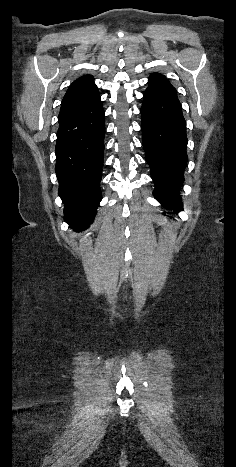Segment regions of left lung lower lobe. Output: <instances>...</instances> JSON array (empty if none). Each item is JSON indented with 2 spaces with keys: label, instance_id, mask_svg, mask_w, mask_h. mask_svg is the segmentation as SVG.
<instances>
[{
  "label": "left lung lower lobe",
  "instance_id": "0a47b994",
  "mask_svg": "<svg viewBox=\"0 0 236 467\" xmlns=\"http://www.w3.org/2000/svg\"><path fill=\"white\" fill-rule=\"evenodd\" d=\"M146 161L155 183V198L167 209L182 211L179 188L187 164L186 121L177 93L147 88L141 107Z\"/></svg>",
  "mask_w": 236,
  "mask_h": 467
}]
</instances>
